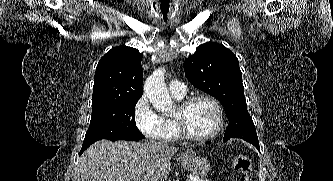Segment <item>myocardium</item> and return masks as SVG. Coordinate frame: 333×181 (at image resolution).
Returning a JSON list of instances; mask_svg holds the SVG:
<instances>
[{
	"instance_id": "obj_1",
	"label": "myocardium",
	"mask_w": 333,
	"mask_h": 181,
	"mask_svg": "<svg viewBox=\"0 0 333 181\" xmlns=\"http://www.w3.org/2000/svg\"><path fill=\"white\" fill-rule=\"evenodd\" d=\"M198 100H206V101L210 102L213 105V107L215 108L216 115H217V124H216L215 129L212 132H210L206 135L197 136L188 131V129L185 126L184 121L180 117H174V120H175V123H176L178 130H179L180 134L182 135V137H184L185 139L190 140V141L204 142V141H208V140L216 137L221 132V130L223 129V126H224V114H223V109H222L220 102L215 97H213L211 95H207V94H198V95H194V96L185 98L184 100H182L180 102V104L178 105V108L181 111H185L189 106H191L194 102H196Z\"/></svg>"
}]
</instances>
